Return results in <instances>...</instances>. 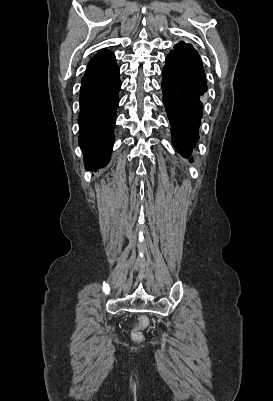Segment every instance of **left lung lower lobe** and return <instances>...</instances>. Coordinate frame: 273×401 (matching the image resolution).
Segmentation results:
<instances>
[{
  "mask_svg": "<svg viewBox=\"0 0 273 401\" xmlns=\"http://www.w3.org/2000/svg\"><path fill=\"white\" fill-rule=\"evenodd\" d=\"M162 91L171 125L172 143L187 158L199 138L203 114L200 96L207 91L201 58L191 44L179 42L166 57Z\"/></svg>",
  "mask_w": 273,
  "mask_h": 401,
  "instance_id": "0a47b994",
  "label": "left lung lower lobe"
}]
</instances>
